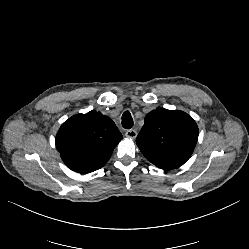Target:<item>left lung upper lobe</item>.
I'll return each mask as SVG.
<instances>
[{
    "instance_id": "1",
    "label": "left lung upper lobe",
    "mask_w": 249,
    "mask_h": 249,
    "mask_svg": "<svg viewBox=\"0 0 249 249\" xmlns=\"http://www.w3.org/2000/svg\"><path fill=\"white\" fill-rule=\"evenodd\" d=\"M198 140L196 122L187 113L158 108L149 112L136 138L143 155L161 169H174L191 156Z\"/></svg>"
}]
</instances>
